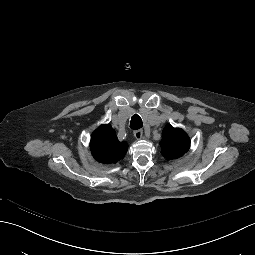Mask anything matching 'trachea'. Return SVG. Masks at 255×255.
<instances>
[{"label":"trachea","instance_id":"3493384b","mask_svg":"<svg viewBox=\"0 0 255 255\" xmlns=\"http://www.w3.org/2000/svg\"><path fill=\"white\" fill-rule=\"evenodd\" d=\"M143 126L142 119L139 115L135 114L131 117L130 128L138 130Z\"/></svg>","mask_w":255,"mask_h":255}]
</instances>
